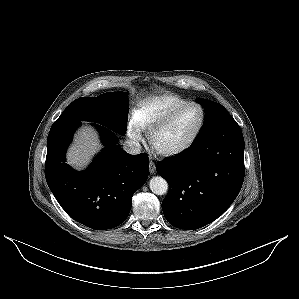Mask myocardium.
Returning a JSON list of instances; mask_svg holds the SVG:
<instances>
[{
  "label": "myocardium",
  "instance_id": "myocardium-1",
  "mask_svg": "<svg viewBox=\"0 0 299 299\" xmlns=\"http://www.w3.org/2000/svg\"><path fill=\"white\" fill-rule=\"evenodd\" d=\"M190 106H196L201 110V120H200V123H199L196 131L194 132V134L191 136V138L185 144H183L182 146H180L178 148L168 150V151L157 150L153 144L155 135L159 131H161L164 128H166L167 126H169L185 109H187ZM205 122H206V111H205L204 107L197 102H188L184 105L179 106L178 108L173 110L169 115H167L165 118H163L162 120H160L159 122H157L156 124H154L153 126L150 127L149 132H148V143H149L150 147L153 150H155V152L158 155H160L161 157L171 158V157L179 156V155L183 154L184 152H186L187 150H189L195 144V142L198 140V138L204 128Z\"/></svg>",
  "mask_w": 299,
  "mask_h": 299
}]
</instances>
